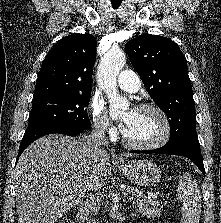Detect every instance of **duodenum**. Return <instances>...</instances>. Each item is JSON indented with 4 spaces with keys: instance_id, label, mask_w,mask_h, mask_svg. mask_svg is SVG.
Returning a JSON list of instances; mask_svg holds the SVG:
<instances>
[{
    "instance_id": "410a0bca",
    "label": "duodenum",
    "mask_w": 221,
    "mask_h": 223,
    "mask_svg": "<svg viewBox=\"0 0 221 223\" xmlns=\"http://www.w3.org/2000/svg\"><path fill=\"white\" fill-rule=\"evenodd\" d=\"M89 212V208L85 203H81L77 208V221L78 223H86V215Z\"/></svg>"
}]
</instances>
